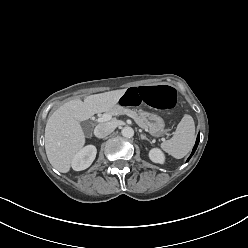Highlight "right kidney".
<instances>
[{
	"label": "right kidney",
	"mask_w": 248,
	"mask_h": 248,
	"mask_svg": "<svg viewBox=\"0 0 248 248\" xmlns=\"http://www.w3.org/2000/svg\"><path fill=\"white\" fill-rule=\"evenodd\" d=\"M96 147L93 145H88L82 148L72 160V168L75 171H81L87 169L96 157Z\"/></svg>",
	"instance_id": "ca27d5eb"
}]
</instances>
